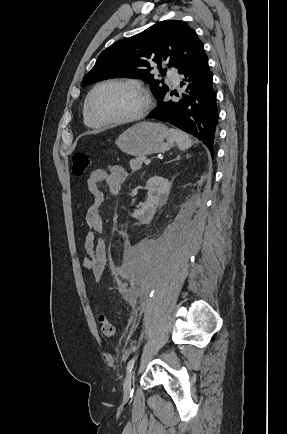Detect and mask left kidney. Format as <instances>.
<instances>
[{"instance_id":"1","label":"left kidney","mask_w":287,"mask_h":434,"mask_svg":"<svg viewBox=\"0 0 287 434\" xmlns=\"http://www.w3.org/2000/svg\"><path fill=\"white\" fill-rule=\"evenodd\" d=\"M146 187L148 190V198L145 203H141L138 209L134 211L132 214L134 218L141 217L147 209L158 205L168 196L170 191V183L168 180L159 176L150 178L146 182Z\"/></svg>"}]
</instances>
